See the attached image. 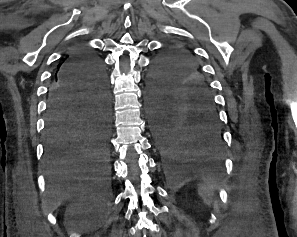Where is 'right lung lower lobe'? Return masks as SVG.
<instances>
[{"mask_svg": "<svg viewBox=\"0 0 297 237\" xmlns=\"http://www.w3.org/2000/svg\"><path fill=\"white\" fill-rule=\"evenodd\" d=\"M110 104L98 57L77 47L60 65L48 94L45 164L51 174L101 173L109 165Z\"/></svg>", "mask_w": 297, "mask_h": 237, "instance_id": "98d812e1", "label": "right lung lower lobe"}]
</instances>
